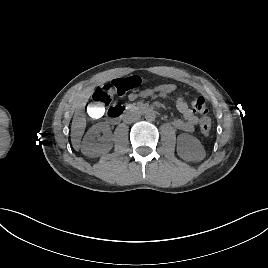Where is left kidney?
<instances>
[{"label":"left kidney","mask_w":268,"mask_h":268,"mask_svg":"<svg viewBox=\"0 0 268 268\" xmlns=\"http://www.w3.org/2000/svg\"><path fill=\"white\" fill-rule=\"evenodd\" d=\"M177 154L186 161H200L206 153L201 142L194 136L183 133L177 138Z\"/></svg>","instance_id":"obj_1"}]
</instances>
